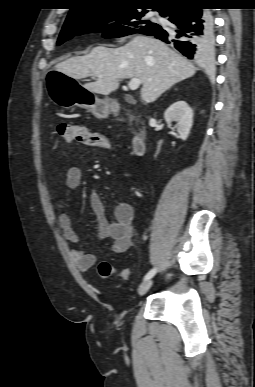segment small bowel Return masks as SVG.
<instances>
[{
    "label": "small bowel",
    "mask_w": 255,
    "mask_h": 387,
    "mask_svg": "<svg viewBox=\"0 0 255 387\" xmlns=\"http://www.w3.org/2000/svg\"><path fill=\"white\" fill-rule=\"evenodd\" d=\"M82 180V171L79 167L68 168L65 175V186L69 190L76 189ZM90 205L95 216L98 236L101 239L111 240V248L115 253H123L134 245L135 230L133 226L134 208L127 202L118 204L113 213L112 220L106 218L105 206L98 193L90 195ZM55 209L57 211V222L67 240L77 243L79 237L76 234L70 216L64 210V204L59 200ZM71 257L77 268L87 271L97 261L94 254L87 253L81 249H71Z\"/></svg>",
    "instance_id": "obj_1"
}]
</instances>
